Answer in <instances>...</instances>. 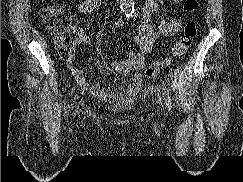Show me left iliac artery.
I'll use <instances>...</instances> for the list:
<instances>
[{
	"mask_svg": "<svg viewBox=\"0 0 243 182\" xmlns=\"http://www.w3.org/2000/svg\"><path fill=\"white\" fill-rule=\"evenodd\" d=\"M165 96H166V105H167L168 109L171 110L170 98L167 93H165Z\"/></svg>",
	"mask_w": 243,
	"mask_h": 182,
	"instance_id": "left-iliac-artery-1",
	"label": "left iliac artery"
}]
</instances>
